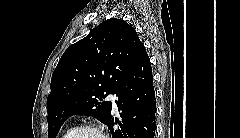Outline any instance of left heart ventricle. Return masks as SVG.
Here are the masks:
<instances>
[{"label":"left heart ventricle","instance_id":"left-heart-ventricle-1","mask_svg":"<svg viewBox=\"0 0 240 138\" xmlns=\"http://www.w3.org/2000/svg\"><path fill=\"white\" fill-rule=\"evenodd\" d=\"M77 138H100L96 132L84 131L78 135Z\"/></svg>","mask_w":240,"mask_h":138}]
</instances>
